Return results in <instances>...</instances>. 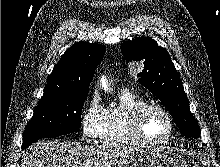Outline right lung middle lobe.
I'll return each instance as SVG.
<instances>
[{
    "instance_id": "dd1d6c3e",
    "label": "right lung middle lobe",
    "mask_w": 220,
    "mask_h": 167,
    "mask_svg": "<svg viewBox=\"0 0 220 167\" xmlns=\"http://www.w3.org/2000/svg\"><path fill=\"white\" fill-rule=\"evenodd\" d=\"M88 91H68L41 99L26 126L22 149L41 138L77 132L81 127V111Z\"/></svg>"
}]
</instances>
